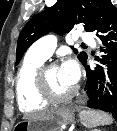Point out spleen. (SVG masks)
<instances>
[{
    "label": "spleen",
    "mask_w": 117,
    "mask_h": 131,
    "mask_svg": "<svg viewBox=\"0 0 117 131\" xmlns=\"http://www.w3.org/2000/svg\"><path fill=\"white\" fill-rule=\"evenodd\" d=\"M80 119L85 126L96 127L110 125L113 119L107 113L95 110H83L80 112Z\"/></svg>",
    "instance_id": "obj_1"
}]
</instances>
